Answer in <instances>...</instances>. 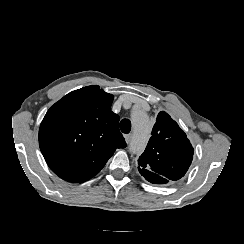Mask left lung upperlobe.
Segmentation results:
<instances>
[{"label":"left lung upper lobe","mask_w":244,"mask_h":244,"mask_svg":"<svg viewBox=\"0 0 244 244\" xmlns=\"http://www.w3.org/2000/svg\"><path fill=\"white\" fill-rule=\"evenodd\" d=\"M193 147L184 131L166 112H159L152 136L138 159L140 174L150 183L181 179L193 160Z\"/></svg>","instance_id":"1"}]
</instances>
